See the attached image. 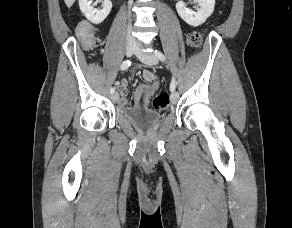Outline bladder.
Masks as SVG:
<instances>
[{
  "label": "bladder",
  "instance_id": "bladder-1",
  "mask_svg": "<svg viewBox=\"0 0 292 228\" xmlns=\"http://www.w3.org/2000/svg\"><path fill=\"white\" fill-rule=\"evenodd\" d=\"M122 115L134 126L140 129L155 127L161 120V115L152 109L145 110H123Z\"/></svg>",
  "mask_w": 292,
  "mask_h": 228
}]
</instances>
